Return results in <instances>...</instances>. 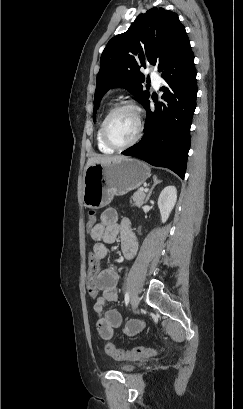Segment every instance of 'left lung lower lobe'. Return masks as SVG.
Instances as JSON below:
<instances>
[{
  "label": "left lung lower lobe",
  "instance_id": "1",
  "mask_svg": "<svg viewBox=\"0 0 243 409\" xmlns=\"http://www.w3.org/2000/svg\"><path fill=\"white\" fill-rule=\"evenodd\" d=\"M161 76L167 83L162 88L163 101L156 104L154 110L150 108L149 99L144 103L147 119L143 138L122 154L168 168L183 179L197 95L194 54L189 41L181 47Z\"/></svg>",
  "mask_w": 243,
  "mask_h": 409
}]
</instances>
